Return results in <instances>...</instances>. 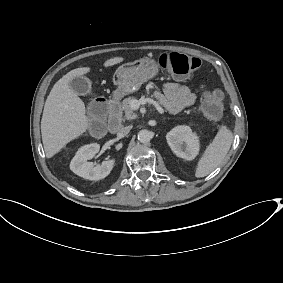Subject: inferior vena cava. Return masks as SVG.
Here are the masks:
<instances>
[{"instance_id": "inferior-vena-cava-1", "label": "inferior vena cava", "mask_w": 283, "mask_h": 283, "mask_svg": "<svg viewBox=\"0 0 283 283\" xmlns=\"http://www.w3.org/2000/svg\"><path fill=\"white\" fill-rule=\"evenodd\" d=\"M131 128H132V126H126V127L121 128V129L118 131L117 136H118V137H124V136H126V135L129 133V131H130Z\"/></svg>"}]
</instances>
